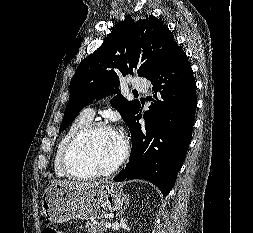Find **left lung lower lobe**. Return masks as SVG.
Here are the masks:
<instances>
[{
    "label": "left lung lower lobe",
    "mask_w": 253,
    "mask_h": 233,
    "mask_svg": "<svg viewBox=\"0 0 253 233\" xmlns=\"http://www.w3.org/2000/svg\"><path fill=\"white\" fill-rule=\"evenodd\" d=\"M148 80L153 102L142 117L140 105L129 126L132 150L129 162L114 181L144 179L167 196L173 188L191 142L195 120L196 83L183 49L172 48L159 71Z\"/></svg>",
    "instance_id": "0a47b994"
}]
</instances>
